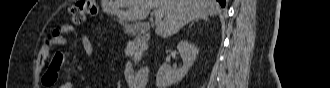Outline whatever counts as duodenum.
Returning <instances> with one entry per match:
<instances>
[{
  "label": "duodenum",
  "instance_id": "duodenum-1",
  "mask_svg": "<svg viewBox=\"0 0 330 88\" xmlns=\"http://www.w3.org/2000/svg\"><path fill=\"white\" fill-rule=\"evenodd\" d=\"M147 34L145 32H140L136 35V37L130 41L127 45V51L128 52H134L137 50L141 45H143L147 41ZM131 84L133 86H138L141 83L140 77H138L136 74H132L131 76Z\"/></svg>",
  "mask_w": 330,
  "mask_h": 88
}]
</instances>
